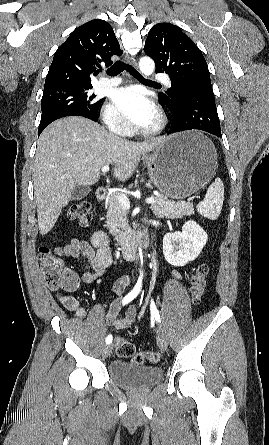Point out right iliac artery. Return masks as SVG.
Wrapping results in <instances>:
<instances>
[{"mask_svg": "<svg viewBox=\"0 0 269 445\" xmlns=\"http://www.w3.org/2000/svg\"><path fill=\"white\" fill-rule=\"evenodd\" d=\"M141 287H142V279L139 278L133 290L129 292L122 300V304L126 305L129 302H131L139 294ZM111 342H112V335H108L106 337V344H110Z\"/></svg>", "mask_w": 269, "mask_h": 445, "instance_id": "82829eb1", "label": "right iliac artery"}]
</instances>
